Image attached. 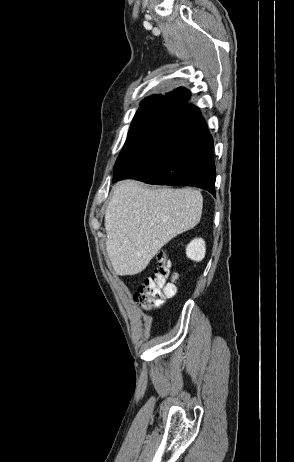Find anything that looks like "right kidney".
<instances>
[{
	"instance_id": "1",
	"label": "right kidney",
	"mask_w": 294,
	"mask_h": 462,
	"mask_svg": "<svg viewBox=\"0 0 294 462\" xmlns=\"http://www.w3.org/2000/svg\"><path fill=\"white\" fill-rule=\"evenodd\" d=\"M205 253V241L202 238L193 239L186 248L187 257L196 262L203 260Z\"/></svg>"
}]
</instances>
